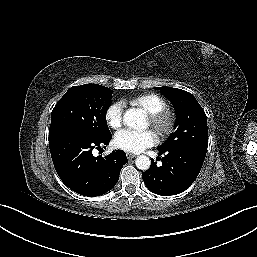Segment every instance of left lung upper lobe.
<instances>
[{
    "mask_svg": "<svg viewBox=\"0 0 257 257\" xmlns=\"http://www.w3.org/2000/svg\"><path fill=\"white\" fill-rule=\"evenodd\" d=\"M173 104L176 112L174 132L158 149H195L206 153L208 147L207 118L204 110L189 92L156 87Z\"/></svg>",
    "mask_w": 257,
    "mask_h": 257,
    "instance_id": "1",
    "label": "left lung upper lobe"
}]
</instances>
